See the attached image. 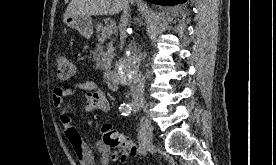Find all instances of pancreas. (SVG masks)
Returning <instances> with one entry per match:
<instances>
[{"label":"pancreas","instance_id":"cf45deb5","mask_svg":"<svg viewBox=\"0 0 276 165\" xmlns=\"http://www.w3.org/2000/svg\"><path fill=\"white\" fill-rule=\"evenodd\" d=\"M98 43L93 54V60L96 62V68L103 71L106 70L112 62L114 57V47L113 42L110 41L106 46H104V41L107 39V36L101 34L97 35Z\"/></svg>","mask_w":276,"mask_h":165}]
</instances>
